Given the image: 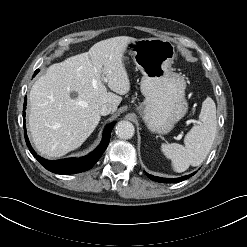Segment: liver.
<instances>
[{"instance_id":"obj_1","label":"liver","mask_w":247,"mask_h":247,"mask_svg":"<svg viewBox=\"0 0 247 247\" xmlns=\"http://www.w3.org/2000/svg\"><path fill=\"white\" fill-rule=\"evenodd\" d=\"M135 39L118 36L94 44L88 52L51 65L33 84L29 130L40 155L58 158L79 148L98 125L99 109L113 112L130 90L123 63L127 45ZM107 83L108 92L104 83ZM75 92L76 97L70 94ZM118 94V95H117Z\"/></svg>"}]
</instances>
